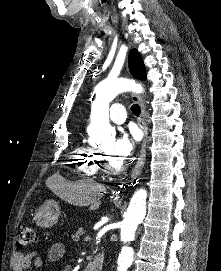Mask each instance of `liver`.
Returning <instances> with one entry per match:
<instances>
[{
    "instance_id": "obj_1",
    "label": "liver",
    "mask_w": 221,
    "mask_h": 271,
    "mask_svg": "<svg viewBox=\"0 0 221 271\" xmlns=\"http://www.w3.org/2000/svg\"><path fill=\"white\" fill-rule=\"evenodd\" d=\"M53 185H61L62 191L58 195L67 203L79 205V207L92 205L94 209L100 205L96 191H105L104 185L96 183L93 179H79L76 183H69V181H64V177L61 175H57Z\"/></svg>"
}]
</instances>
